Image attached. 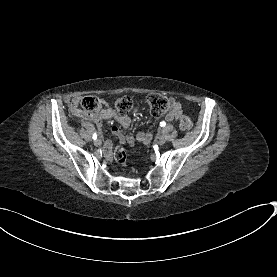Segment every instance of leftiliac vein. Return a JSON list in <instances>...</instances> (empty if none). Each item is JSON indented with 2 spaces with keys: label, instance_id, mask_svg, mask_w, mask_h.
<instances>
[{
  "label": "left iliac vein",
  "instance_id": "obj_1",
  "mask_svg": "<svg viewBox=\"0 0 277 277\" xmlns=\"http://www.w3.org/2000/svg\"><path fill=\"white\" fill-rule=\"evenodd\" d=\"M165 142H166L165 137H164V136H160L159 139H158V143H159L160 145H163V144H165Z\"/></svg>",
  "mask_w": 277,
  "mask_h": 277
}]
</instances>
